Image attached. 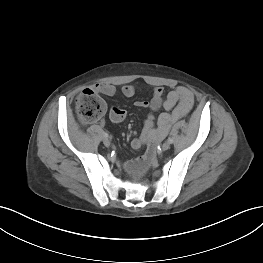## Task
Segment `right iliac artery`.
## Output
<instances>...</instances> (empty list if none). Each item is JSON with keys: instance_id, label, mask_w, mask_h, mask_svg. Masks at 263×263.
Listing matches in <instances>:
<instances>
[{"instance_id": "right-iliac-artery-1", "label": "right iliac artery", "mask_w": 263, "mask_h": 263, "mask_svg": "<svg viewBox=\"0 0 263 263\" xmlns=\"http://www.w3.org/2000/svg\"><path fill=\"white\" fill-rule=\"evenodd\" d=\"M103 136H104L105 138H108V137H109V134H108L107 132H104V133H103Z\"/></svg>"}]
</instances>
